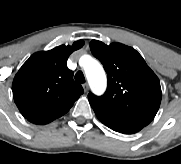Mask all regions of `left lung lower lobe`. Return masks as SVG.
<instances>
[{
  "instance_id": "obj_1",
  "label": "left lung lower lobe",
  "mask_w": 181,
  "mask_h": 164,
  "mask_svg": "<svg viewBox=\"0 0 181 164\" xmlns=\"http://www.w3.org/2000/svg\"><path fill=\"white\" fill-rule=\"evenodd\" d=\"M98 119L110 129L123 133V134H133L140 131L143 125L135 123L131 120L119 117L107 111H96L94 110Z\"/></svg>"
}]
</instances>
